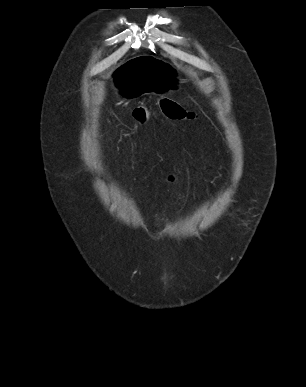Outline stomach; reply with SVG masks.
I'll list each match as a JSON object with an SVG mask.
<instances>
[{
    "instance_id": "0dacf381",
    "label": "stomach",
    "mask_w": 306,
    "mask_h": 387,
    "mask_svg": "<svg viewBox=\"0 0 306 387\" xmlns=\"http://www.w3.org/2000/svg\"><path fill=\"white\" fill-rule=\"evenodd\" d=\"M142 53H151V46H142ZM118 93L127 99L136 95H149V91H160L178 82L175 69L168 59H157L156 55H133L117 75H112Z\"/></svg>"
}]
</instances>
